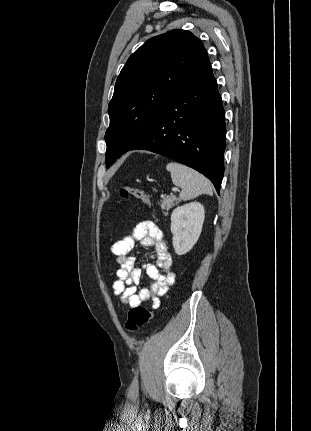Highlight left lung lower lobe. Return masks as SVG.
I'll return each mask as SVG.
<instances>
[{
    "mask_svg": "<svg viewBox=\"0 0 311 431\" xmlns=\"http://www.w3.org/2000/svg\"><path fill=\"white\" fill-rule=\"evenodd\" d=\"M225 136L222 100L206 56L130 150L152 151L187 165L209 178L219 194Z\"/></svg>",
    "mask_w": 311,
    "mask_h": 431,
    "instance_id": "1",
    "label": "left lung lower lobe"
}]
</instances>
